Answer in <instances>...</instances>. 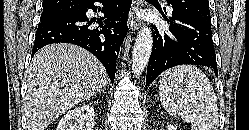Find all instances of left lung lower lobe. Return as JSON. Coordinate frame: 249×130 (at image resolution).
Instances as JSON below:
<instances>
[{
  "label": "left lung lower lobe",
  "mask_w": 249,
  "mask_h": 130,
  "mask_svg": "<svg viewBox=\"0 0 249 130\" xmlns=\"http://www.w3.org/2000/svg\"><path fill=\"white\" fill-rule=\"evenodd\" d=\"M161 13L169 24V31L160 32L152 25L153 47L147 67L146 86L163 71L177 65L207 66L217 74L211 25L174 12L169 18Z\"/></svg>",
  "instance_id": "obj_1"
}]
</instances>
